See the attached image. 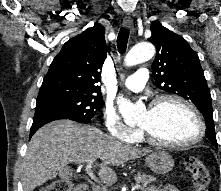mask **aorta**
Segmentation results:
<instances>
[{"label":"aorta","instance_id":"obj_1","mask_svg":"<svg viewBox=\"0 0 221 191\" xmlns=\"http://www.w3.org/2000/svg\"><path fill=\"white\" fill-rule=\"evenodd\" d=\"M155 55V47L149 42H143L135 45L125 57V65L133 66L150 60ZM118 108L124 121L128 124L134 122L143 108L139 105L133 104L129 100L119 97L117 100Z\"/></svg>","mask_w":221,"mask_h":191}]
</instances>
